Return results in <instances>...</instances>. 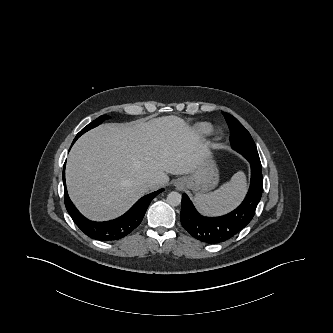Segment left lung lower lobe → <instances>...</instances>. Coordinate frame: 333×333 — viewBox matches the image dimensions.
<instances>
[{
  "mask_svg": "<svg viewBox=\"0 0 333 333\" xmlns=\"http://www.w3.org/2000/svg\"><path fill=\"white\" fill-rule=\"evenodd\" d=\"M251 165L249 191L239 207L221 217L200 215L186 194L182 196L180 220L194 238L205 243L224 242L241 231L252 220L262 196V168L260 159L246 158Z\"/></svg>",
  "mask_w": 333,
  "mask_h": 333,
  "instance_id": "1",
  "label": "left lung lower lobe"
}]
</instances>
